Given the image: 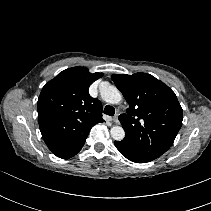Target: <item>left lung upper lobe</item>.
Instances as JSON below:
<instances>
[{
    "label": "left lung upper lobe",
    "mask_w": 211,
    "mask_h": 211,
    "mask_svg": "<svg viewBox=\"0 0 211 211\" xmlns=\"http://www.w3.org/2000/svg\"><path fill=\"white\" fill-rule=\"evenodd\" d=\"M112 80L129 103L119 120L125 130L121 141L137 156L152 161L173 144L182 126V107L175 93L146 73L113 74Z\"/></svg>",
    "instance_id": "obj_1"
}]
</instances>
